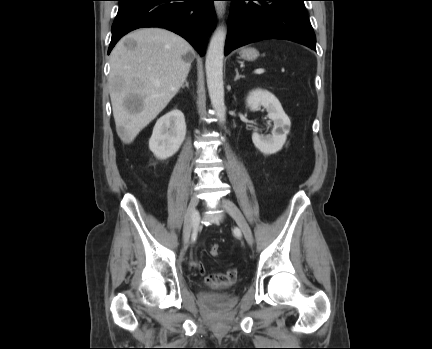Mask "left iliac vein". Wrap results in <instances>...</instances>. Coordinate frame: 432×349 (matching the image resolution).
<instances>
[{
	"label": "left iliac vein",
	"mask_w": 432,
	"mask_h": 349,
	"mask_svg": "<svg viewBox=\"0 0 432 349\" xmlns=\"http://www.w3.org/2000/svg\"><path fill=\"white\" fill-rule=\"evenodd\" d=\"M221 204L222 207L234 218L238 227L241 229L246 241L249 244H252L253 235L251 228L239 208L231 200L228 199H222Z\"/></svg>",
	"instance_id": "left-iliac-vein-1"
}]
</instances>
